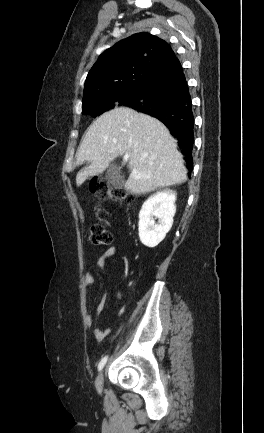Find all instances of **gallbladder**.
Returning a JSON list of instances; mask_svg holds the SVG:
<instances>
[{"mask_svg": "<svg viewBox=\"0 0 264 433\" xmlns=\"http://www.w3.org/2000/svg\"><path fill=\"white\" fill-rule=\"evenodd\" d=\"M106 178L116 188H122L124 180L120 176L119 168L116 164H111L107 170Z\"/></svg>", "mask_w": 264, "mask_h": 433, "instance_id": "obj_1", "label": "gallbladder"}]
</instances>
